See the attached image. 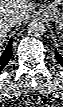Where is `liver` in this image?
Returning a JSON list of instances; mask_svg holds the SVG:
<instances>
[{"label": "liver", "mask_w": 63, "mask_h": 107, "mask_svg": "<svg viewBox=\"0 0 63 107\" xmlns=\"http://www.w3.org/2000/svg\"><path fill=\"white\" fill-rule=\"evenodd\" d=\"M28 0H0L1 17L15 16L17 23H22L28 18ZM10 29L2 28L0 25V43L3 44Z\"/></svg>", "instance_id": "liver-1"}]
</instances>
